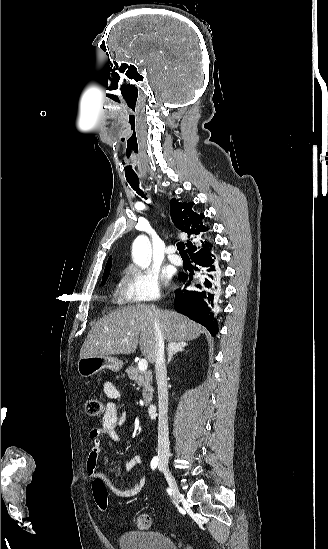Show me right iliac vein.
I'll use <instances>...</instances> for the list:
<instances>
[{
	"mask_svg": "<svg viewBox=\"0 0 328 549\" xmlns=\"http://www.w3.org/2000/svg\"><path fill=\"white\" fill-rule=\"evenodd\" d=\"M160 470L164 473L165 478L169 484L170 490L175 498V500L178 502L181 498V494L179 492L177 483L175 481L174 476L170 472L166 460H160L159 462Z\"/></svg>",
	"mask_w": 328,
	"mask_h": 549,
	"instance_id": "63e3f726",
	"label": "right iliac vein"
}]
</instances>
